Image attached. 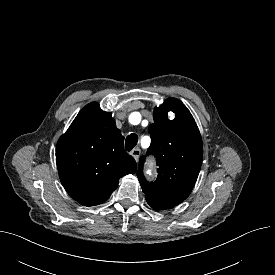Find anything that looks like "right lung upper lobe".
<instances>
[{"label":"right lung upper lobe","instance_id":"cb5924a9","mask_svg":"<svg viewBox=\"0 0 275 275\" xmlns=\"http://www.w3.org/2000/svg\"><path fill=\"white\" fill-rule=\"evenodd\" d=\"M56 162L63 187L84 206L105 202L119 179L137 169L111 113L96 102L86 105L60 137Z\"/></svg>","mask_w":275,"mask_h":275}]
</instances>
